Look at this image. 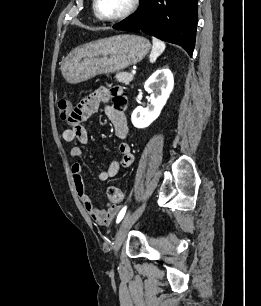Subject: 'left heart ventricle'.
I'll use <instances>...</instances> for the list:
<instances>
[{
  "instance_id": "b2bd125f",
  "label": "left heart ventricle",
  "mask_w": 261,
  "mask_h": 306,
  "mask_svg": "<svg viewBox=\"0 0 261 306\" xmlns=\"http://www.w3.org/2000/svg\"><path fill=\"white\" fill-rule=\"evenodd\" d=\"M131 0H98L99 12L107 17L121 14L129 6Z\"/></svg>"
}]
</instances>
